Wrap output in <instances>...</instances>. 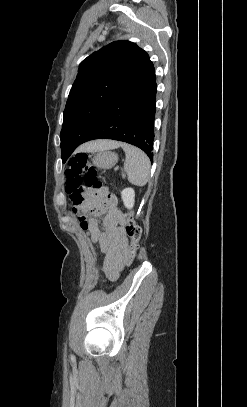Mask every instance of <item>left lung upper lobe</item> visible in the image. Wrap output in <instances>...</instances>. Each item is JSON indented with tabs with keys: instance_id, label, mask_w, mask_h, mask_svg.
<instances>
[{
	"instance_id": "obj_1",
	"label": "left lung upper lobe",
	"mask_w": 247,
	"mask_h": 407,
	"mask_svg": "<svg viewBox=\"0 0 247 407\" xmlns=\"http://www.w3.org/2000/svg\"><path fill=\"white\" fill-rule=\"evenodd\" d=\"M135 43L113 42L80 64L63 113L62 162L82 143L111 101L150 63Z\"/></svg>"
}]
</instances>
